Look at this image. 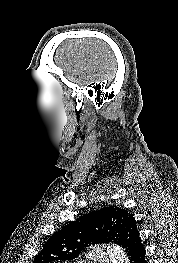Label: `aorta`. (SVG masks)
<instances>
[{"label": "aorta", "instance_id": "762f6f07", "mask_svg": "<svg viewBox=\"0 0 178 263\" xmlns=\"http://www.w3.org/2000/svg\"><path fill=\"white\" fill-rule=\"evenodd\" d=\"M107 253L111 263H129L124 250L116 244H109L107 246Z\"/></svg>", "mask_w": 178, "mask_h": 263}]
</instances>
